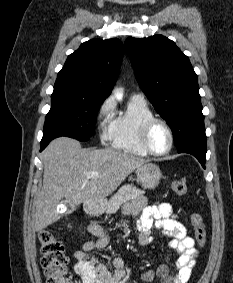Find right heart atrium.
Listing matches in <instances>:
<instances>
[{
	"instance_id": "1",
	"label": "right heart atrium",
	"mask_w": 233,
	"mask_h": 283,
	"mask_svg": "<svg viewBox=\"0 0 233 283\" xmlns=\"http://www.w3.org/2000/svg\"><path fill=\"white\" fill-rule=\"evenodd\" d=\"M114 112V104L110 98L105 99L96 112V122L99 130L100 141L105 144L110 140L111 121Z\"/></svg>"
}]
</instances>
